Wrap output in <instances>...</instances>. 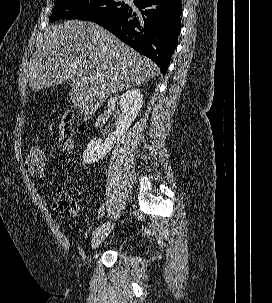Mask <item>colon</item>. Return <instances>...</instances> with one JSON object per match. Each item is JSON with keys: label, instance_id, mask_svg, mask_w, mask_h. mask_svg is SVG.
Instances as JSON below:
<instances>
[{"label": "colon", "instance_id": "colon-1", "mask_svg": "<svg viewBox=\"0 0 272 303\" xmlns=\"http://www.w3.org/2000/svg\"><path fill=\"white\" fill-rule=\"evenodd\" d=\"M60 140L59 146L69 153L73 144V125L71 115H63L59 125ZM29 161L33 171L39 175L47 173V156L45 150L40 145H33L29 151ZM52 208L56 215L61 217H72L79 213L80 206L75 198L68 194H56L52 200Z\"/></svg>", "mask_w": 272, "mask_h": 303}]
</instances>
